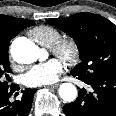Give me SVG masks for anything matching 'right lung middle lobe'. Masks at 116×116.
Listing matches in <instances>:
<instances>
[{
  "label": "right lung middle lobe",
  "instance_id": "obj_1",
  "mask_svg": "<svg viewBox=\"0 0 116 116\" xmlns=\"http://www.w3.org/2000/svg\"><path fill=\"white\" fill-rule=\"evenodd\" d=\"M34 22L30 21V26L33 25ZM8 44H0V94L7 93L10 89L14 87L12 84L9 85L11 73L10 65H9V57H8Z\"/></svg>",
  "mask_w": 116,
  "mask_h": 116
}]
</instances>
